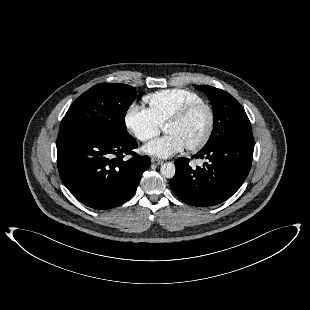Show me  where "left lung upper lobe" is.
Listing matches in <instances>:
<instances>
[{
    "mask_svg": "<svg viewBox=\"0 0 310 310\" xmlns=\"http://www.w3.org/2000/svg\"><path fill=\"white\" fill-rule=\"evenodd\" d=\"M194 87L204 92L213 106V131L203 149L251 133L250 121L243 107L232 95L208 85H194Z\"/></svg>",
    "mask_w": 310,
    "mask_h": 310,
    "instance_id": "left-lung-upper-lobe-1",
    "label": "left lung upper lobe"
}]
</instances>
